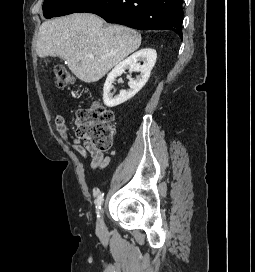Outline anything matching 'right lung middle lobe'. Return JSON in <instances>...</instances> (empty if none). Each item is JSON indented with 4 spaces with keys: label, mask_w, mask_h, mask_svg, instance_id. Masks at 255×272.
Segmentation results:
<instances>
[{
    "label": "right lung middle lobe",
    "mask_w": 255,
    "mask_h": 272,
    "mask_svg": "<svg viewBox=\"0 0 255 272\" xmlns=\"http://www.w3.org/2000/svg\"><path fill=\"white\" fill-rule=\"evenodd\" d=\"M90 0H45L43 4L44 17H52L71 14L82 8Z\"/></svg>",
    "instance_id": "right-lung-middle-lobe-1"
}]
</instances>
